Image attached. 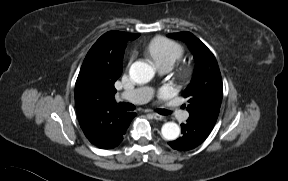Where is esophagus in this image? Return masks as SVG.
<instances>
[{"instance_id":"1","label":"esophagus","mask_w":288,"mask_h":181,"mask_svg":"<svg viewBox=\"0 0 288 181\" xmlns=\"http://www.w3.org/2000/svg\"><path fill=\"white\" fill-rule=\"evenodd\" d=\"M152 116L154 117V119L156 120H163L164 119V116L163 115H160L158 113H152Z\"/></svg>"}]
</instances>
